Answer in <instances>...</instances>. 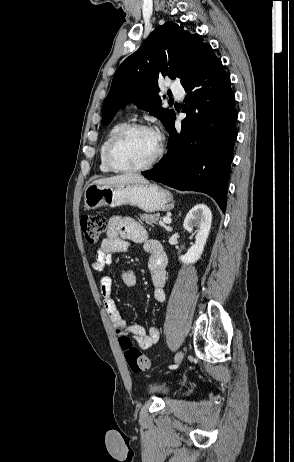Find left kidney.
<instances>
[{
  "instance_id": "1",
  "label": "left kidney",
  "mask_w": 294,
  "mask_h": 462,
  "mask_svg": "<svg viewBox=\"0 0 294 462\" xmlns=\"http://www.w3.org/2000/svg\"><path fill=\"white\" fill-rule=\"evenodd\" d=\"M212 224L211 210L205 204H197L186 215L183 226L189 233H193L194 227L196 230L195 244L187 251L185 255L179 257V260L184 264H192L197 262L203 253L207 238L210 233Z\"/></svg>"
}]
</instances>
